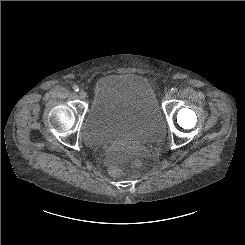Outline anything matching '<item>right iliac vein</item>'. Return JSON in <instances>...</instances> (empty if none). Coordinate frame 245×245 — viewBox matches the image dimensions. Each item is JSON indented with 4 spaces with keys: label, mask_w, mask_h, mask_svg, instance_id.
<instances>
[{
    "label": "right iliac vein",
    "mask_w": 245,
    "mask_h": 245,
    "mask_svg": "<svg viewBox=\"0 0 245 245\" xmlns=\"http://www.w3.org/2000/svg\"><path fill=\"white\" fill-rule=\"evenodd\" d=\"M78 94H79V97H80L81 99H84V98L87 97V93H86L85 90H80V91L78 92Z\"/></svg>",
    "instance_id": "63e3f726"
}]
</instances>
